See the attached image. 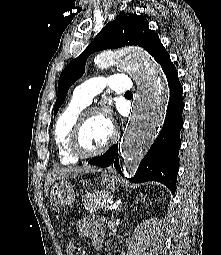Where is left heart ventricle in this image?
<instances>
[{"label": "left heart ventricle", "mask_w": 221, "mask_h": 255, "mask_svg": "<svg viewBox=\"0 0 221 255\" xmlns=\"http://www.w3.org/2000/svg\"><path fill=\"white\" fill-rule=\"evenodd\" d=\"M109 124L100 115H91L86 121L82 132V146L87 151L100 148L109 137Z\"/></svg>", "instance_id": "obj_1"}]
</instances>
